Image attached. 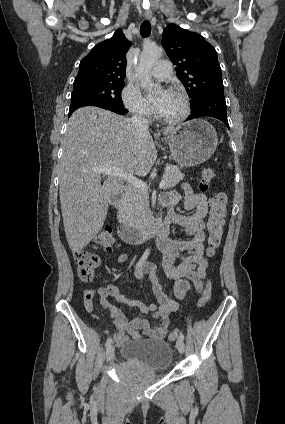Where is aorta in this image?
Segmentation results:
<instances>
[{"mask_svg": "<svg viewBox=\"0 0 285 424\" xmlns=\"http://www.w3.org/2000/svg\"><path fill=\"white\" fill-rule=\"evenodd\" d=\"M163 49L161 47H145L140 55L137 67V75L140 86L148 93L159 92L160 85L152 81L151 69L153 65L161 58Z\"/></svg>", "mask_w": 285, "mask_h": 424, "instance_id": "obj_1", "label": "aorta"}]
</instances>
